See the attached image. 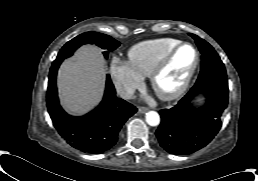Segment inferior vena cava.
Here are the masks:
<instances>
[{"label": "inferior vena cava", "instance_id": "inferior-vena-cava-1", "mask_svg": "<svg viewBox=\"0 0 258 181\" xmlns=\"http://www.w3.org/2000/svg\"><path fill=\"white\" fill-rule=\"evenodd\" d=\"M116 92L123 99H131L135 93V89L127 84L117 83Z\"/></svg>", "mask_w": 258, "mask_h": 181}]
</instances>
